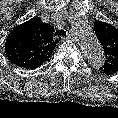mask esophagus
Listing matches in <instances>:
<instances>
[{
  "mask_svg": "<svg viewBox=\"0 0 118 118\" xmlns=\"http://www.w3.org/2000/svg\"><path fill=\"white\" fill-rule=\"evenodd\" d=\"M71 37H72L71 34H67V36L66 37H62V39H70Z\"/></svg>",
  "mask_w": 118,
  "mask_h": 118,
  "instance_id": "obj_1",
  "label": "esophagus"
}]
</instances>
